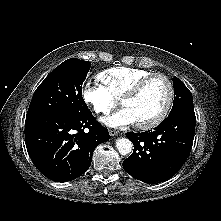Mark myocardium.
<instances>
[{
    "label": "myocardium",
    "instance_id": "f54148a6",
    "mask_svg": "<svg viewBox=\"0 0 221 221\" xmlns=\"http://www.w3.org/2000/svg\"><path fill=\"white\" fill-rule=\"evenodd\" d=\"M154 78H161L165 81V83L167 84V87H168V97H167V100H166V103H165L163 109L160 111V113L156 117H154L153 119H151L150 121H147V122L136 123V126L138 128L144 129V130L152 129V128L158 126L168 116V114L171 110V107L173 105L174 96H175L174 85H173V82L170 80V78L163 73H150V74L142 77L141 79H139L132 86V88L121 98V101H120L121 105L124 106V103L126 101L136 98L140 94V92L142 91L144 86L150 80H152Z\"/></svg>",
    "mask_w": 221,
    "mask_h": 221
}]
</instances>
